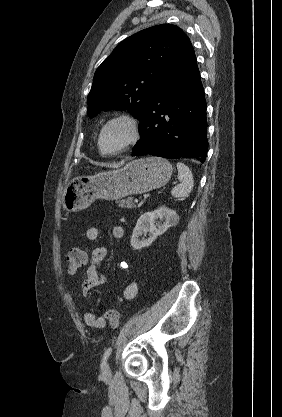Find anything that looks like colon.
I'll use <instances>...</instances> for the list:
<instances>
[{"instance_id":"5ec220e1","label":"colon","mask_w":282,"mask_h":417,"mask_svg":"<svg viewBox=\"0 0 282 417\" xmlns=\"http://www.w3.org/2000/svg\"><path fill=\"white\" fill-rule=\"evenodd\" d=\"M87 257L85 253L79 248L69 250L65 255L66 266L71 273H76L86 264ZM105 318L111 326H117L120 322V317L115 309H108L105 312Z\"/></svg>"}]
</instances>
